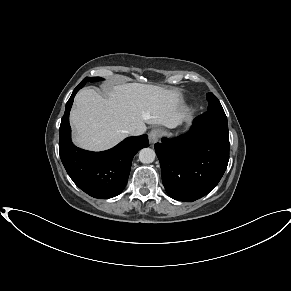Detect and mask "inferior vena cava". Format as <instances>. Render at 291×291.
<instances>
[{
    "label": "inferior vena cava",
    "instance_id": "602c4592",
    "mask_svg": "<svg viewBox=\"0 0 291 291\" xmlns=\"http://www.w3.org/2000/svg\"><path fill=\"white\" fill-rule=\"evenodd\" d=\"M143 133H144L143 129H134V130H131V132H130V134L134 135V136H138V135H141Z\"/></svg>",
    "mask_w": 291,
    "mask_h": 291
}]
</instances>
